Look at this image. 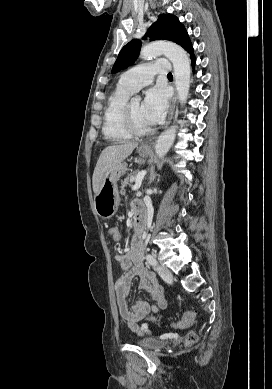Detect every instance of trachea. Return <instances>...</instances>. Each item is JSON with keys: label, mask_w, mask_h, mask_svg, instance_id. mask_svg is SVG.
<instances>
[{"label": "trachea", "mask_w": 272, "mask_h": 389, "mask_svg": "<svg viewBox=\"0 0 272 389\" xmlns=\"http://www.w3.org/2000/svg\"><path fill=\"white\" fill-rule=\"evenodd\" d=\"M167 77H170V78H172V77H173V75H172L171 73H169V74L167 75Z\"/></svg>", "instance_id": "obj_1"}]
</instances>
